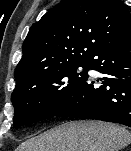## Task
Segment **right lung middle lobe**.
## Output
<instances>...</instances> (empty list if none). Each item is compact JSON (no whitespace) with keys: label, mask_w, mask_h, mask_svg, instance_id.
<instances>
[{"label":"right lung middle lobe","mask_w":131,"mask_h":151,"mask_svg":"<svg viewBox=\"0 0 131 151\" xmlns=\"http://www.w3.org/2000/svg\"><path fill=\"white\" fill-rule=\"evenodd\" d=\"M78 67L84 72L77 73ZM88 62L62 67L14 89V127L54 117L71 99L79 85L88 77Z\"/></svg>","instance_id":"dd1d6c3e"}]
</instances>
